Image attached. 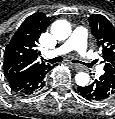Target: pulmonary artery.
Returning <instances> with one entry per match:
<instances>
[{"instance_id": "e3ab8cb5", "label": "pulmonary artery", "mask_w": 115, "mask_h": 119, "mask_svg": "<svg viewBox=\"0 0 115 119\" xmlns=\"http://www.w3.org/2000/svg\"><path fill=\"white\" fill-rule=\"evenodd\" d=\"M87 37V30L83 27H77L69 39L55 50V54H65L74 50L86 64L93 65V57L88 49Z\"/></svg>"}]
</instances>
